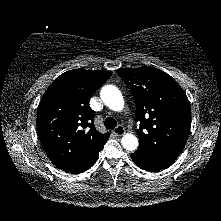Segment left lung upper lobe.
Returning a JSON list of instances; mask_svg holds the SVG:
<instances>
[{"label": "left lung upper lobe", "mask_w": 221, "mask_h": 221, "mask_svg": "<svg viewBox=\"0 0 221 221\" xmlns=\"http://www.w3.org/2000/svg\"><path fill=\"white\" fill-rule=\"evenodd\" d=\"M117 74L132 92L140 145L136 152L175 160L190 134L189 100L167 73L149 66L119 69Z\"/></svg>", "instance_id": "left-lung-upper-lobe-1"}]
</instances>
